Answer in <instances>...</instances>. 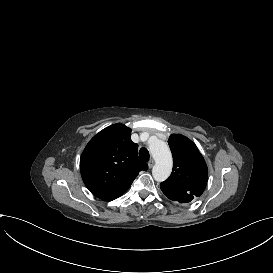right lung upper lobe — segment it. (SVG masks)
<instances>
[{
  "instance_id": "1",
  "label": "right lung upper lobe",
  "mask_w": 273,
  "mask_h": 273,
  "mask_svg": "<svg viewBox=\"0 0 273 273\" xmlns=\"http://www.w3.org/2000/svg\"><path fill=\"white\" fill-rule=\"evenodd\" d=\"M131 129L113 124L95 135L80 158L82 179L96 197L111 201L131 186L147 163L138 158V145L131 140Z\"/></svg>"
}]
</instances>
